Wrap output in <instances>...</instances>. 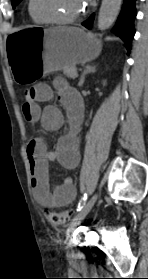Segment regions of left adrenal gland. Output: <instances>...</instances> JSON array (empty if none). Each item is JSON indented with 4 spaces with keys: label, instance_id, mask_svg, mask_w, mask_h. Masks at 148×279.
I'll list each match as a JSON object with an SVG mask.
<instances>
[{
    "label": "left adrenal gland",
    "instance_id": "obj_1",
    "mask_svg": "<svg viewBox=\"0 0 148 279\" xmlns=\"http://www.w3.org/2000/svg\"><path fill=\"white\" fill-rule=\"evenodd\" d=\"M96 72V66L95 65H86L85 66V69L81 75V78H80V81L78 83V86L79 87H82V85L84 84V81H85V76L87 74H90V73H95Z\"/></svg>",
    "mask_w": 148,
    "mask_h": 279
}]
</instances>
